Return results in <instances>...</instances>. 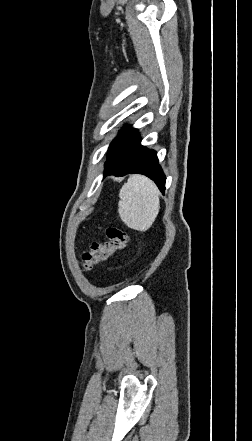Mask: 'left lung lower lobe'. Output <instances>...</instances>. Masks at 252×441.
<instances>
[{
    "label": "left lung lower lobe",
    "instance_id": "1",
    "mask_svg": "<svg viewBox=\"0 0 252 441\" xmlns=\"http://www.w3.org/2000/svg\"><path fill=\"white\" fill-rule=\"evenodd\" d=\"M135 173L152 179L164 193L166 178L158 164L157 153L142 146L138 131L130 128L115 158L105 166V175L124 176Z\"/></svg>",
    "mask_w": 252,
    "mask_h": 441
}]
</instances>
